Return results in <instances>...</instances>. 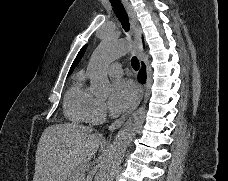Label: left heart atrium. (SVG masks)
<instances>
[{"label":"left heart atrium","instance_id":"1","mask_svg":"<svg viewBox=\"0 0 228 181\" xmlns=\"http://www.w3.org/2000/svg\"><path fill=\"white\" fill-rule=\"evenodd\" d=\"M134 97V86L131 81L119 79L114 82L110 101L111 109L120 112L127 107Z\"/></svg>","mask_w":228,"mask_h":181}]
</instances>
